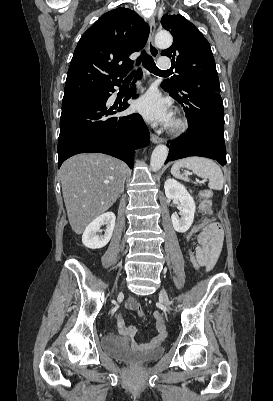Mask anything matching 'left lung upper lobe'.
<instances>
[{
    "label": "left lung upper lobe",
    "instance_id": "5c2ea615",
    "mask_svg": "<svg viewBox=\"0 0 273 401\" xmlns=\"http://www.w3.org/2000/svg\"><path fill=\"white\" fill-rule=\"evenodd\" d=\"M161 23L173 35L172 46L161 55L172 57L173 67L179 74L162 83L165 90L181 92L185 88L206 87L220 92L215 60L203 34L181 15L166 14Z\"/></svg>",
    "mask_w": 273,
    "mask_h": 401
}]
</instances>
